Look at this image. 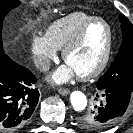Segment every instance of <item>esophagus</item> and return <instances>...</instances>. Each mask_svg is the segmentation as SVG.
I'll return each mask as SVG.
<instances>
[{"label":"esophagus","mask_w":133,"mask_h":133,"mask_svg":"<svg viewBox=\"0 0 133 133\" xmlns=\"http://www.w3.org/2000/svg\"><path fill=\"white\" fill-rule=\"evenodd\" d=\"M59 94L62 96H66L70 93V90L68 88H59L58 89Z\"/></svg>","instance_id":"obj_1"}]
</instances>
